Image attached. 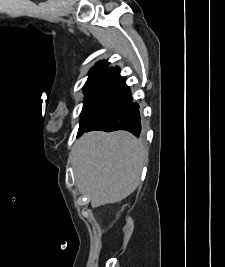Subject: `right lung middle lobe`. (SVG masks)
I'll return each instance as SVG.
<instances>
[{"label": "right lung middle lobe", "mask_w": 225, "mask_h": 267, "mask_svg": "<svg viewBox=\"0 0 225 267\" xmlns=\"http://www.w3.org/2000/svg\"><path fill=\"white\" fill-rule=\"evenodd\" d=\"M94 82V80H88L87 82H86V84L84 85V89H83V91H84V94H85V96H86V94H87V92H88V90H89V88H90V86H91V84ZM85 98V97H84Z\"/></svg>", "instance_id": "obj_1"}]
</instances>
